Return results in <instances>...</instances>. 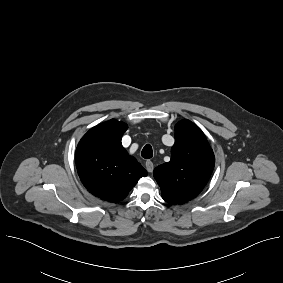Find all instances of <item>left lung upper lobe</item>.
I'll use <instances>...</instances> for the list:
<instances>
[{"mask_svg": "<svg viewBox=\"0 0 283 283\" xmlns=\"http://www.w3.org/2000/svg\"><path fill=\"white\" fill-rule=\"evenodd\" d=\"M215 165L214 153L201 129L189 120L175 126L171 160L154 169L162 198L180 204L196 197L207 184Z\"/></svg>", "mask_w": 283, "mask_h": 283, "instance_id": "1", "label": "left lung upper lobe"}]
</instances>
